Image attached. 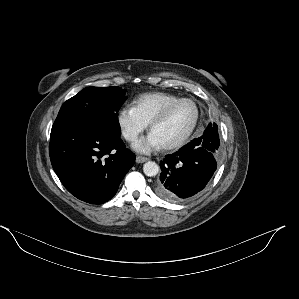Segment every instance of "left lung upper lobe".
<instances>
[{
  "label": "left lung upper lobe",
  "instance_id": "5c2ea615",
  "mask_svg": "<svg viewBox=\"0 0 299 299\" xmlns=\"http://www.w3.org/2000/svg\"><path fill=\"white\" fill-rule=\"evenodd\" d=\"M204 132H206L209 142L212 143V146L214 147V151L218 153V148L220 145L218 126L215 123L213 124L210 123Z\"/></svg>",
  "mask_w": 299,
  "mask_h": 299
}]
</instances>
